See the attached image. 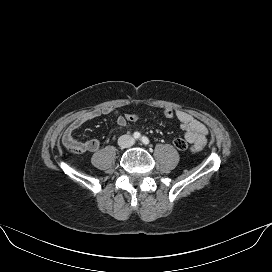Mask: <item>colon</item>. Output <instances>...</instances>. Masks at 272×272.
Segmentation results:
<instances>
[{
	"label": "colon",
	"mask_w": 272,
	"mask_h": 272,
	"mask_svg": "<svg viewBox=\"0 0 272 272\" xmlns=\"http://www.w3.org/2000/svg\"><path fill=\"white\" fill-rule=\"evenodd\" d=\"M162 114L165 118L167 119H171L175 116L174 110L172 109H164L162 111ZM125 119L126 121L130 122V123H134L137 122L139 120V116L135 113H128L125 115ZM173 145L175 146V148H177L178 150H186L188 148V143L181 139V138H177L173 141Z\"/></svg>",
	"instance_id": "colon-1"
}]
</instances>
